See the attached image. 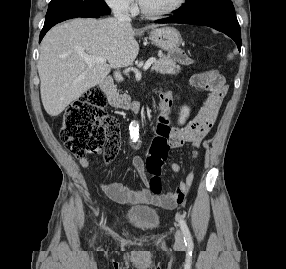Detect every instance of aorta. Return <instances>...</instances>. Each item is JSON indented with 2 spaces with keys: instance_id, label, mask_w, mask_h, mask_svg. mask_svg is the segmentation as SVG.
<instances>
[{
  "instance_id": "aorta-1",
  "label": "aorta",
  "mask_w": 286,
  "mask_h": 269,
  "mask_svg": "<svg viewBox=\"0 0 286 269\" xmlns=\"http://www.w3.org/2000/svg\"><path fill=\"white\" fill-rule=\"evenodd\" d=\"M130 136L133 141H136L139 137V124L137 121H132L129 127Z\"/></svg>"
}]
</instances>
